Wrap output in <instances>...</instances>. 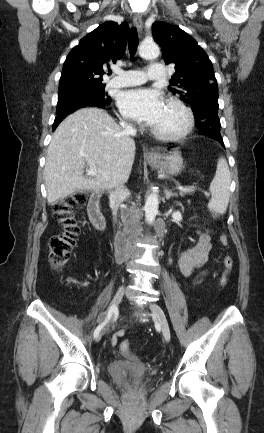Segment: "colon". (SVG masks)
<instances>
[{"instance_id": "colon-1", "label": "colon", "mask_w": 264, "mask_h": 433, "mask_svg": "<svg viewBox=\"0 0 264 433\" xmlns=\"http://www.w3.org/2000/svg\"><path fill=\"white\" fill-rule=\"evenodd\" d=\"M85 200V193L76 192L60 200L54 206V216L61 227V231L52 236L48 244L49 263L55 271H61L64 268L73 252L80 231L78 221L74 214V209L79 204L84 203ZM220 243L224 247L228 245V238L226 235L222 234L220 236ZM233 264L234 260L232 256L225 255L223 258V272L220 280V287H224L227 284L229 275L233 269ZM203 277L204 275L197 277L194 283L199 285L202 283ZM120 350L124 355L135 358L128 340L121 342Z\"/></svg>"}]
</instances>
